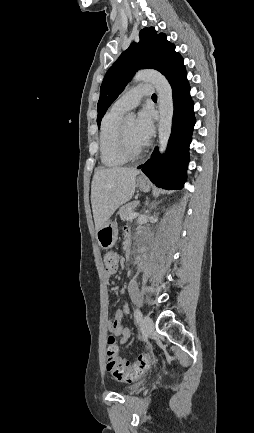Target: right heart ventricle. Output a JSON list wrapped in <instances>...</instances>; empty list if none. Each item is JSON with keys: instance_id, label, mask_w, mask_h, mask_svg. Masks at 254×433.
I'll list each match as a JSON object with an SVG mask.
<instances>
[{"instance_id": "e07e8e85", "label": "right heart ventricle", "mask_w": 254, "mask_h": 433, "mask_svg": "<svg viewBox=\"0 0 254 433\" xmlns=\"http://www.w3.org/2000/svg\"><path fill=\"white\" fill-rule=\"evenodd\" d=\"M123 113L110 109L103 117L99 133L100 160L106 167H120L127 163L118 145V129Z\"/></svg>"}]
</instances>
